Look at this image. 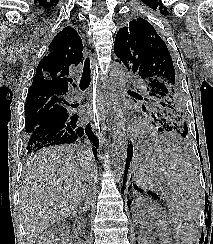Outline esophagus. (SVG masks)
Listing matches in <instances>:
<instances>
[{"label":"esophagus","mask_w":213,"mask_h":244,"mask_svg":"<svg viewBox=\"0 0 213 244\" xmlns=\"http://www.w3.org/2000/svg\"><path fill=\"white\" fill-rule=\"evenodd\" d=\"M89 52L91 54L92 59V68L94 69V77L96 76V84L98 86L97 89V102L99 104V121L104 122L105 120L109 122V124L114 127L115 126V118L117 116L116 111L112 105L113 99L112 98H105L103 93L100 90L101 81L99 79L98 67L96 63V54L93 51V46L90 45Z\"/></svg>","instance_id":"obj_1"}]
</instances>
